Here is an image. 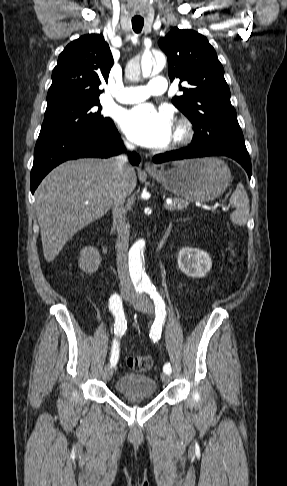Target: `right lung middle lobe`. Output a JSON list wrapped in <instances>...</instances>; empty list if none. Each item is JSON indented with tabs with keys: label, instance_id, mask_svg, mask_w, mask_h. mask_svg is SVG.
Listing matches in <instances>:
<instances>
[{
	"label": "right lung middle lobe",
	"instance_id": "obj_1",
	"mask_svg": "<svg viewBox=\"0 0 287 486\" xmlns=\"http://www.w3.org/2000/svg\"><path fill=\"white\" fill-rule=\"evenodd\" d=\"M99 99L71 101L45 111L38 139L63 135L90 134L107 127L112 120L100 114Z\"/></svg>",
	"mask_w": 287,
	"mask_h": 486
}]
</instances>
